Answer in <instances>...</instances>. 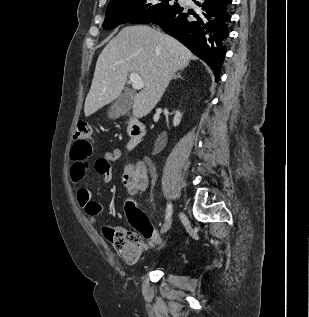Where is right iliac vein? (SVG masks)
Masks as SVG:
<instances>
[{
  "mask_svg": "<svg viewBox=\"0 0 309 317\" xmlns=\"http://www.w3.org/2000/svg\"><path fill=\"white\" fill-rule=\"evenodd\" d=\"M171 224H172V218L169 217V218L165 221V223L163 224V226H162V228H161V233H162V234L166 233V232L170 229Z\"/></svg>",
  "mask_w": 309,
  "mask_h": 317,
  "instance_id": "right-iliac-vein-1",
  "label": "right iliac vein"
}]
</instances>
